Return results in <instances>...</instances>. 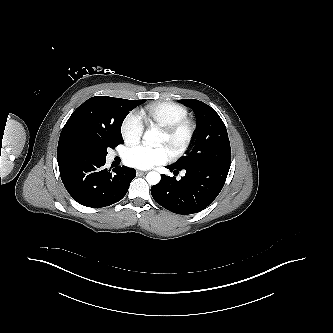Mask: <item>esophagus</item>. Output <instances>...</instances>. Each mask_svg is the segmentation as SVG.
Segmentation results:
<instances>
[{
    "instance_id": "1",
    "label": "esophagus",
    "mask_w": 333,
    "mask_h": 333,
    "mask_svg": "<svg viewBox=\"0 0 333 333\" xmlns=\"http://www.w3.org/2000/svg\"><path fill=\"white\" fill-rule=\"evenodd\" d=\"M136 174H137V176H142V175H144V174H146V172L145 171H137L136 172Z\"/></svg>"
}]
</instances>
